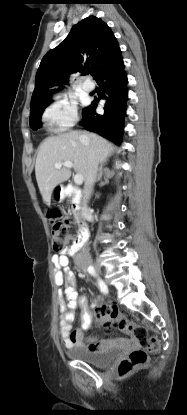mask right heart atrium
I'll return each mask as SVG.
<instances>
[{
  "label": "right heart atrium",
  "mask_w": 187,
  "mask_h": 415,
  "mask_svg": "<svg viewBox=\"0 0 187 415\" xmlns=\"http://www.w3.org/2000/svg\"><path fill=\"white\" fill-rule=\"evenodd\" d=\"M43 123L53 132L60 133L72 128L78 121L76 106L67 100L49 105L42 113Z\"/></svg>",
  "instance_id": "right-heart-atrium-1"
}]
</instances>
